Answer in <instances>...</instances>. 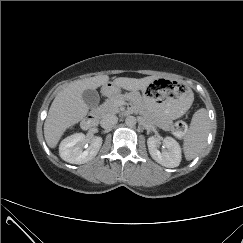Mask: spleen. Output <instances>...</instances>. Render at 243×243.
<instances>
[{
  "label": "spleen",
  "mask_w": 243,
  "mask_h": 243,
  "mask_svg": "<svg viewBox=\"0 0 243 243\" xmlns=\"http://www.w3.org/2000/svg\"><path fill=\"white\" fill-rule=\"evenodd\" d=\"M209 124L210 120L205 108H201L194 113L183 142V152L186 160L194 159L204 149L207 142Z\"/></svg>",
  "instance_id": "1"
}]
</instances>
